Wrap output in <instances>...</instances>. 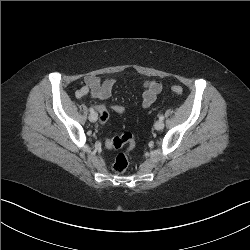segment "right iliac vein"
Segmentation results:
<instances>
[{
    "mask_svg": "<svg viewBox=\"0 0 250 250\" xmlns=\"http://www.w3.org/2000/svg\"><path fill=\"white\" fill-rule=\"evenodd\" d=\"M97 118H98V115H97V113H95V112H92V113L89 115V120H90L91 122L97 121Z\"/></svg>",
    "mask_w": 250,
    "mask_h": 250,
    "instance_id": "obj_1",
    "label": "right iliac vein"
}]
</instances>
